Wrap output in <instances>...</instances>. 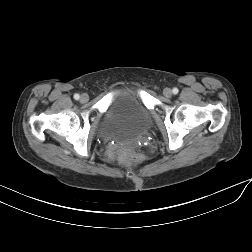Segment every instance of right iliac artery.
<instances>
[{"mask_svg": "<svg viewBox=\"0 0 252 252\" xmlns=\"http://www.w3.org/2000/svg\"><path fill=\"white\" fill-rule=\"evenodd\" d=\"M74 98H75L76 100H78V99L80 98L79 94H75V95H74Z\"/></svg>", "mask_w": 252, "mask_h": 252, "instance_id": "right-iliac-artery-1", "label": "right iliac artery"}]
</instances>
